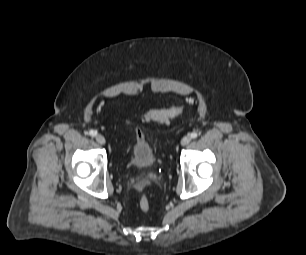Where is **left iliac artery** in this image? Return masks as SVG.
Instances as JSON below:
<instances>
[{
  "label": "left iliac artery",
  "instance_id": "left-iliac-artery-1",
  "mask_svg": "<svg viewBox=\"0 0 306 255\" xmlns=\"http://www.w3.org/2000/svg\"><path fill=\"white\" fill-rule=\"evenodd\" d=\"M197 137H198V133L197 132L191 133V138H197Z\"/></svg>",
  "mask_w": 306,
  "mask_h": 255
}]
</instances>
